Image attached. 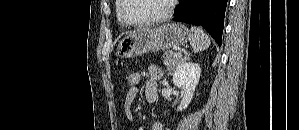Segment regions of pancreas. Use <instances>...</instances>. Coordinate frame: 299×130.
Here are the masks:
<instances>
[{"instance_id": "1", "label": "pancreas", "mask_w": 299, "mask_h": 130, "mask_svg": "<svg viewBox=\"0 0 299 130\" xmlns=\"http://www.w3.org/2000/svg\"><path fill=\"white\" fill-rule=\"evenodd\" d=\"M164 65L167 67L169 72L175 70V68L181 63L182 59L180 57L175 56L173 51H166L163 54Z\"/></svg>"}]
</instances>
